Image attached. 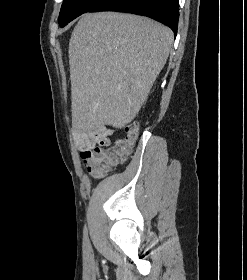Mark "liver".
Returning <instances> with one entry per match:
<instances>
[{"mask_svg": "<svg viewBox=\"0 0 247 280\" xmlns=\"http://www.w3.org/2000/svg\"><path fill=\"white\" fill-rule=\"evenodd\" d=\"M172 31L152 19L114 12L84 14L69 41L72 122L90 132L123 128L145 103L164 67Z\"/></svg>", "mask_w": 247, "mask_h": 280, "instance_id": "1", "label": "liver"}]
</instances>
